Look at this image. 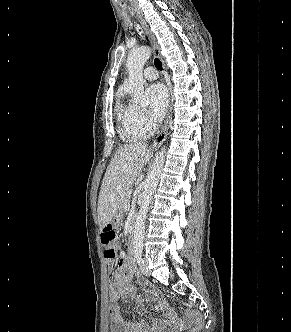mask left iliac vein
Segmentation results:
<instances>
[{
  "label": "left iliac vein",
  "mask_w": 291,
  "mask_h": 332,
  "mask_svg": "<svg viewBox=\"0 0 291 332\" xmlns=\"http://www.w3.org/2000/svg\"><path fill=\"white\" fill-rule=\"evenodd\" d=\"M140 270L144 275H146V276L150 275L147 259H144L143 264L140 266Z\"/></svg>",
  "instance_id": "obj_1"
}]
</instances>
